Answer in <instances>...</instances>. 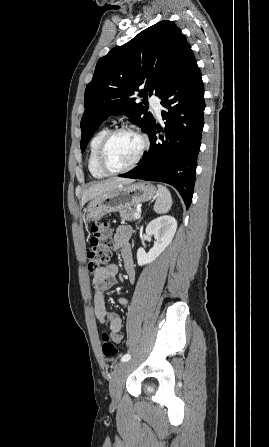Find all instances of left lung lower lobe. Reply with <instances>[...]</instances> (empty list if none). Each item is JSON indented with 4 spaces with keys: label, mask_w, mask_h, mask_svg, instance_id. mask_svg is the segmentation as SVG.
<instances>
[{
    "label": "left lung lower lobe",
    "mask_w": 269,
    "mask_h": 447,
    "mask_svg": "<svg viewBox=\"0 0 269 447\" xmlns=\"http://www.w3.org/2000/svg\"><path fill=\"white\" fill-rule=\"evenodd\" d=\"M160 98L166 109L161 112L164 129L152 120L146 132L150 139L149 151L145 152L141 164L119 176L168 183L178 190L189 207L205 108L202 75L191 47ZM160 131L162 134L158 137L156 134Z\"/></svg>",
    "instance_id": "1"
}]
</instances>
